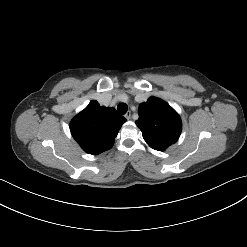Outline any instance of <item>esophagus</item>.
<instances>
[{"mask_svg": "<svg viewBox=\"0 0 247 247\" xmlns=\"http://www.w3.org/2000/svg\"><path fill=\"white\" fill-rule=\"evenodd\" d=\"M124 117H125L127 120L131 119V112H130V111L126 112L125 115H124Z\"/></svg>", "mask_w": 247, "mask_h": 247, "instance_id": "1", "label": "esophagus"}]
</instances>
